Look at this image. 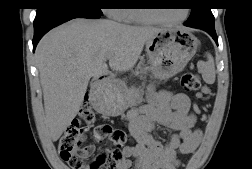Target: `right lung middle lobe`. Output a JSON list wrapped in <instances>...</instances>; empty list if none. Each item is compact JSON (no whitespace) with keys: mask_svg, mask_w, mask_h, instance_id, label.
Here are the masks:
<instances>
[{"mask_svg":"<svg viewBox=\"0 0 252 169\" xmlns=\"http://www.w3.org/2000/svg\"><path fill=\"white\" fill-rule=\"evenodd\" d=\"M102 0H42L38 4L36 16L59 9L75 8L102 15Z\"/></svg>","mask_w":252,"mask_h":169,"instance_id":"right-lung-middle-lobe-1","label":"right lung middle lobe"}]
</instances>
